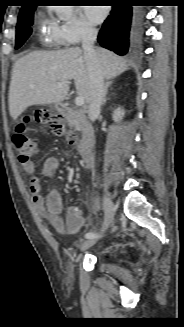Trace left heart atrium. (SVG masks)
Listing matches in <instances>:
<instances>
[{
    "label": "left heart atrium",
    "mask_w": 184,
    "mask_h": 327,
    "mask_svg": "<svg viewBox=\"0 0 184 327\" xmlns=\"http://www.w3.org/2000/svg\"><path fill=\"white\" fill-rule=\"evenodd\" d=\"M86 16L93 23H100L106 16V9L99 6L86 8Z\"/></svg>",
    "instance_id": "1"
}]
</instances>
